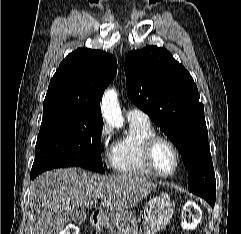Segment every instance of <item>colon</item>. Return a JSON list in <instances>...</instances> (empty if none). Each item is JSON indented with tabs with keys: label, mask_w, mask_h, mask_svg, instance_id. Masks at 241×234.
I'll return each mask as SVG.
<instances>
[{
	"label": "colon",
	"mask_w": 241,
	"mask_h": 234,
	"mask_svg": "<svg viewBox=\"0 0 241 234\" xmlns=\"http://www.w3.org/2000/svg\"><path fill=\"white\" fill-rule=\"evenodd\" d=\"M201 219V210L198 205L191 203L182 212V227L185 230H193ZM65 234H77V229L73 225H69L65 229Z\"/></svg>",
	"instance_id": "colon-1"
}]
</instances>
